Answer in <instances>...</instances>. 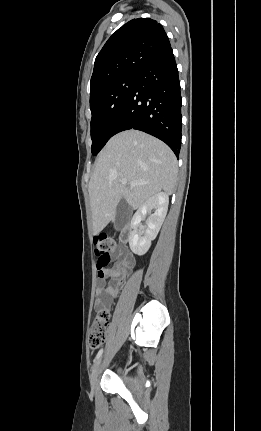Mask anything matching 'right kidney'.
<instances>
[{
    "label": "right kidney",
    "mask_w": 261,
    "mask_h": 431,
    "mask_svg": "<svg viewBox=\"0 0 261 431\" xmlns=\"http://www.w3.org/2000/svg\"><path fill=\"white\" fill-rule=\"evenodd\" d=\"M169 197L165 192H159L148 198L137 210L132 219L133 231L129 234V246L134 254L144 255L150 248L164 222L167 214ZM155 209L154 214L151 210ZM149 215L146 224L147 228L142 236L139 225L144 217Z\"/></svg>",
    "instance_id": "right-kidney-1"
}]
</instances>
